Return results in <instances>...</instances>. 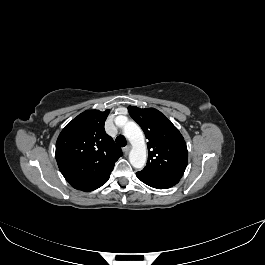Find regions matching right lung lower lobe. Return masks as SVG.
I'll return each instance as SVG.
<instances>
[{"mask_svg":"<svg viewBox=\"0 0 265 265\" xmlns=\"http://www.w3.org/2000/svg\"><path fill=\"white\" fill-rule=\"evenodd\" d=\"M108 180V179H107ZM107 180H105L104 182H102L100 185H98L97 187H95L94 189H97V188H99L100 186H102ZM93 189V190H94ZM92 191V190H91Z\"/></svg>","mask_w":265,"mask_h":265,"instance_id":"98d812e1","label":"right lung lower lobe"}]
</instances>
